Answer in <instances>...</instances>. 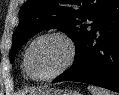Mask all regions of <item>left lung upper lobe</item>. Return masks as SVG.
Here are the masks:
<instances>
[{
	"mask_svg": "<svg viewBox=\"0 0 119 95\" xmlns=\"http://www.w3.org/2000/svg\"><path fill=\"white\" fill-rule=\"evenodd\" d=\"M110 0H27L19 11L20 23L13 35L10 61L21 46L38 32L58 28L75 43L76 49L89 31L86 20H93Z\"/></svg>",
	"mask_w": 119,
	"mask_h": 95,
	"instance_id": "left-lung-upper-lobe-1",
	"label": "left lung upper lobe"
}]
</instances>
